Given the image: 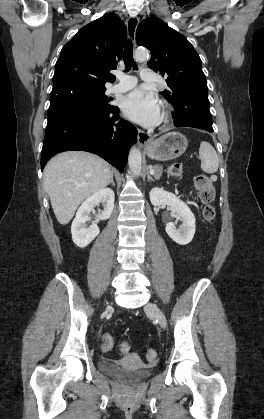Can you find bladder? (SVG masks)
Wrapping results in <instances>:
<instances>
[{"instance_id": "31cf9c89", "label": "bladder", "mask_w": 264, "mask_h": 419, "mask_svg": "<svg viewBox=\"0 0 264 419\" xmlns=\"http://www.w3.org/2000/svg\"><path fill=\"white\" fill-rule=\"evenodd\" d=\"M100 369L126 385H135L151 376V369H130L109 361H101Z\"/></svg>"}]
</instances>
